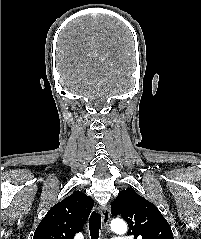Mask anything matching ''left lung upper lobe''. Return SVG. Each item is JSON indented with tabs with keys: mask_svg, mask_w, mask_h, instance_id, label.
Returning <instances> with one entry per match:
<instances>
[{
	"mask_svg": "<svg viewBox=\"0 0 201 239\" xmlns=\"http://www.w3.org/2000/svg\"><path fill=\"white\" fill-rule=\"evenodd\" d=\"M111 213L126 220L128 235L134 239H174L171 227L156 206L131 187L119 192L111 203Z\"/></svg>",
	"mask_w": 201,
	"mask_h": 239,
	"instance_id": "obj_1",
	"label": "left lung upper lobe"
}]
</instances>
